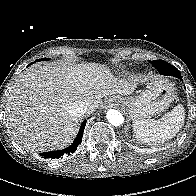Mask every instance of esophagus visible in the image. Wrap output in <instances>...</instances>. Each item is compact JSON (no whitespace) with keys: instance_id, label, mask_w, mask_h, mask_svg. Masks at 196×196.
<instances>
[{"instance_id":"1","label":"esophagus","mask_w":196,"mask_h":196,"mask_svg":"<svg viewBox=\"0 0 196 196\" xmlns=\"http://www.w3.org/2000/svg\"><path fill=\"white\" fill-rule=\"evenodd\" d=\"M107 103H109L110 105H117L119 101L116 97H113V98L108 99Z\"/></svg>"}]
</instances>
